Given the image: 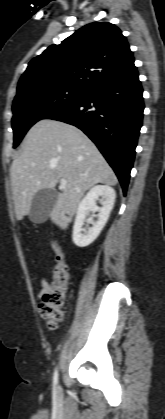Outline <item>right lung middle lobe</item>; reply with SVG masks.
Returning <instances> with one entry per match:
<instances>
[{
    "label": "right lung middle lobe",
    "mask_w": 165,
    "mask_h": 419,
    "mask_svg": "<svg viewBox=\"0 0 165 419\" xmlns=\"http://www.w3.org/2000/svg\"><path fill=\"white\" fill-rule=\"evenodd\" d=\"M87 92L75 88L56 87L44 89L13 101L12 128L13 147H17L22 138L37 121L47 114L57 111L82 99Z\"/></svg>",
    "instance_id": "1"
}]
</instances>
